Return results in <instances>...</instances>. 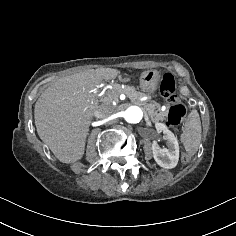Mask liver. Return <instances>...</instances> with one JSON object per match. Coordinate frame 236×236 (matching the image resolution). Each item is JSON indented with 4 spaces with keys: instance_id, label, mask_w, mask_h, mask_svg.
Returning <instances> with one entry per match:
<instances>
[{
    "instance_id": "1",
    "label": "liver",
    "mask_w": 236,
    "mask_h": 236,
    "mask_svg": "<svg viewBox=\"0 0 236 236\" xmlns=\"http://www.w3.org/2000/svg\"><path fill=\"white\" fill-rule=\"evenodd\" d=\"M119 73L117 69L98 68L62 77L38 98L34 109L37 133L60 162L82 158L95 111L104 117L113 113L112 99L99 105L94 89Z\"/></svg>"
}]
</instances>
